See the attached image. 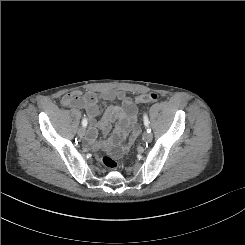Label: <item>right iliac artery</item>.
<instances>
[{
	"instance_id": "obj_1",
	"label": "right iliac artery",
	"mask_w": 245,
	"mask_h": 245,
	"mask_svg": "<svg viewBox=\"0 0 245 245\" xmlns=\"http://www.w3.org/2000/svg\"><path fill=\"white\" fill-rule=\"evenodd\" d=\"M87 124H88V120H87V118H84V119L82 120V126H83V127H86Z\"/></svg>"
}]
</instances>
